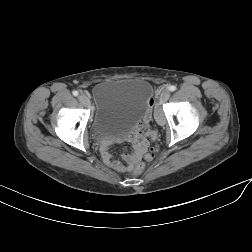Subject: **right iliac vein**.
Masks as SVG:
<instances>
[{"label": "right iliac vein", "instance_id": "1", "mask_svg": "<svg viewBox=\"0 0 252 252\" xmlns=\"http://www.w3.org/2000/svg\"><path fill=\"white\" fill-rule=\"evenodd\" d=\"M78 99L83 105H85V106L90 105V99L87 94H80Z\"/></svg>", "mask_w": 252, "mask_h": 252}]
</instances>
